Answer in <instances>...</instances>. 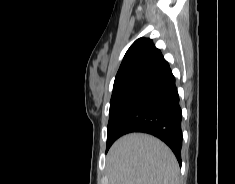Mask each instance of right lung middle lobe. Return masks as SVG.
I'll list each match as a JSON object with an SVG mask.
<instances>
[{"mask_svg":"<svg viewBox=\"0 0 235 184\" xmlns=\"http://www.w3.org/2000/svg\"><path fill=\"white\" fill-rule=\"evenodd\" d=\"M127 91V88H121L118 90H113L112 93V97L110 100V111H109V123L111 122L114 113L117 110V107L122 99V97L124 96L125 92ZM109 123H108V135H107V146H106V152L108 151V149L110 148V146L113 144L114 142V138H113V134L110 132V128H109Z\"/></svg>","mask_w":235,"mask_h":184,"instance_id":"dd1d6c3e","label":"right lung middle lobe"}]
</instances>
